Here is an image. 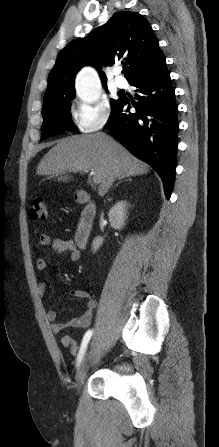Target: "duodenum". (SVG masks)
<instances>
[{
	"label": "duodenum",
	"mask_w": 219,
	"mask_h": 447,
	"mask_svg": "<svg viewBox=\"0 0 219 447\" xmlns=\"http://www.w3.org/2000/svg\"><path fill=\"white\" fill-rule=\"evenodd\" d=\"M77 200L80 204L84 205V208L77 223L75 231V242L78 247L84 248L91 236L97 209L96 204L84 191L78 193Z\"/></svg>",
	"instance_id": "1"
}]
</instances>
